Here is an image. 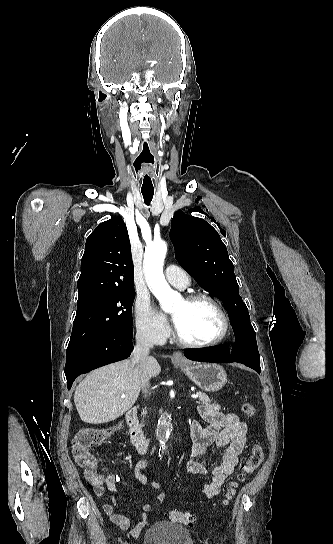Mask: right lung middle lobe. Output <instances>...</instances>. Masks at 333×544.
Instances as JSON below:
<instances>
[{"label":"right lung middle lobe","instance_id":"right-lung-middle-lobe-1","mask_svg":"<svg viewBox=\"0 0 333 544\" xmlns=\"http://www.w3.org/2000/svg\"><path fill=\"white\" fill-rule=\"evenodd\" d=\"M135 290H116L77 301L67 354L133 325Z\"/></svg>","mask_w":333,"mask_h":544}]
</instances>
